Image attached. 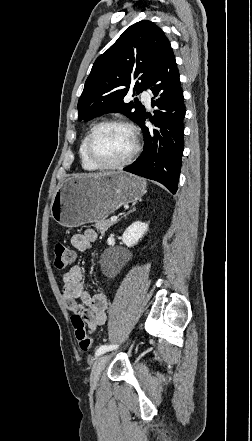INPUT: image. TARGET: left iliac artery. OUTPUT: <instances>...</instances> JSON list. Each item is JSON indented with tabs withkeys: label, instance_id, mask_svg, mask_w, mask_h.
<instances>
[{
	"label": "left iliac artery",
	"instance_id": "left-iliac-artery-1",
	"mask_svg": "<svg viewBox=\"0 0 252 441\" xmlns=\"http://www.w3.org/2000/svg\"><path fill=\"white\" fill-rule=\"evenodd\" d=\"M117 347L118 345H102L96 350L95 356H99L107 351L116 349Z\"/></svg>",
	"mask_w": 252,
	"mask_h": 441
}]
</instances>
